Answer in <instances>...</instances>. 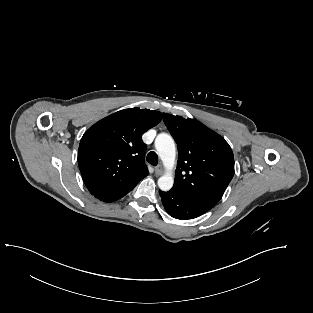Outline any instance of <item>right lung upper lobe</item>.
I'll use <instances>...</instances> for the list:
<instances>
[{
	"mask_svg": "<svg viewBox=\"0 0 313 313\" xmlns=\"http://www.w3.org/2000/svg\"><path fill=\"white\" fill-rule=\"evenodd\" d=\"M162 119L158 111L120 110L91 126L78 150V165L92 195L140 181L149 172L144 164L142 135Z\"/></svg>",
	"mask_w": 313,
	"mask_h": 313,
	"instance_id": "cb5924a9",
	"label": "right lung upper lobe"
}]
</instances>
